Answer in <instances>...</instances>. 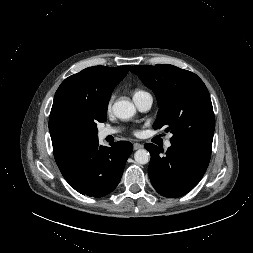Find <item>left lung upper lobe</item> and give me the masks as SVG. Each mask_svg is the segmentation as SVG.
Segmentation results:
<instances>
[{
	"instance_id": "1",
	"label": "left lung upper lobe",
	"mask_w": 253,
	"mask_h": 253,
	"mask_svg": "<svg viewBox=\"0 0 253 253\" xmlns=\"http://www.w3.org/2000/svg\"><path fill=\"white\" fill-rule=\"evenodd\" d=\"M131 72L153 90L159 111L154 129L166 127L171 145L211 156L215 118L209 92L194 73L169 64L132 66Z\"/></svg>"
}]
</instances>
